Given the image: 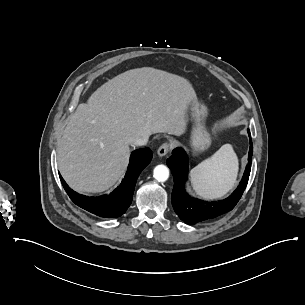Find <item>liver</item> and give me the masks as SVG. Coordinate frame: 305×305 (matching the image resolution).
<instances>
[{
	"label": "liver",
	"instance_id": "6515ba94",
	"mask_svg": "<svg viewBox=\"0 0 305 305\" xmlns=\"http://www.w3.org/2000/svg\"><path fill=\"white\" fill-rule=\"evenodd\" d=\"M196 93L185 78L151 67L128 70L78 105L58 143V168L77 192H103L125 173L130 138L180 136Z\"/></svg>",
	"mask_w": 305,
	"mask_h": 305
}]
</instances>
